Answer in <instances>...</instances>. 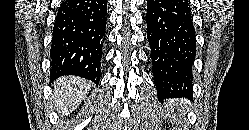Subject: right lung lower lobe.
<instances>
[{"instance_id": "1", "label": "right lung lower lobe", "mask_w": 249, "mask_h": 130, "mask_svg": "<svg viewBox=\"0 0 249 130\" xmlns=\"http://www.w3.org/2000/svg\"><path fill=\"white\" fill-rule=\"evenodd\" d=\"M106 0H67L58 9L50 49L51 77L77 75L99 83Z\"/></svg>"}]
</instances>
